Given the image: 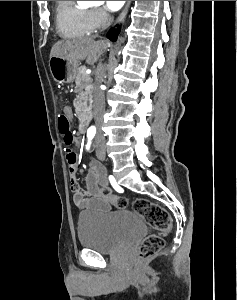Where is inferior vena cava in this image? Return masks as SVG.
Here are the masks:
<instances>
[{"label":"inferior vena cava","instance_id":"602c4592","mask_svg":"<svg viewBox=\"0 0 237 300\" xmlns=\"http://www.w3.org/2000/svg\"><path fill=\"white\" fill-rule=\"evenodd\" d=\"M114 17H111V15H107L105 13L104 21L101 25L102 31L104 29H108L110 27L111 23H113ZM95 37H98V35H95ZM104 67L102 63H99L98 69H97V79L94 87V119H95V125L97 129V139H104L101 131L102 123H103V117L105 113V95L104 91L102 89V83L104 79Z\"/></svg>","mask_w":237,"mask_h":300}]
</instances>
